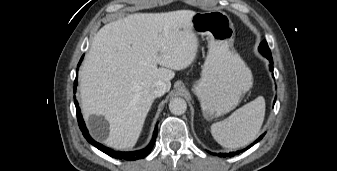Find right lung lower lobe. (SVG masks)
Returning a JSON list of instances; mask_svg holds the SVG:
<instances>
[{"mask_svg":"<svg viewBox=\"0 0 337 171\" xmlns=\"http://www.w3.org/2000/svg\"><path fill=\"white\" fill-rule=\"evenodd\" d=\"M83 58V57H82ZM81 58V60H82ZM81 60L78 64V67L81 63ZM77 74V72H76ZM75 87H74V92L76 91V85H77V81L75 80ZM75 106H76V112H77V119H78V123H79V127L84 135V137L87 139L88 142H90L93 146H95L96 148H98L99 150H101L102 152L106 153L107 155L116 158V159H123V160H128V161H132V160H137V159H141L144 158L145 156H147L150 151L152 150L154 143L156 141V136H157V125L156 128L154 130L153 133V137L151 142L149 143V145L142 150L139 151H134V152H120V151H114L106 146H103L102 144L96 142L95 140H93L91 138V136L88 133V130L85 126V123L83 121V118L81 116V112L78 106V102L75 100Z\"/></svg>","mask_w":337,"mask_h":171,"instance_id":"1","label":"right lung lower lobe"}]
</instances>
